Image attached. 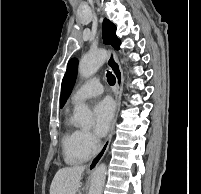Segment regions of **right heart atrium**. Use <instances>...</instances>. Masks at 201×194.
I'll use <instances>...</instances> for the list:
<instances>
[{
    "label": "right heart atrium",
    "mask_w": 201,
    "mask_h": 194,
    "mask_svg": "<svg viewBox=\"0 0 201 194\" xmlns=\"http://www.w3.org/2000/svg\"><path fill=\"white\" fill-rule=\"evenodd\" d=\"M79 143L83 149L93 152L97 148L98 141L90 131L82 130L80 131Z\"/></svg>",
    "instance_id": "right-heart-atrium-1"
}]
</instances>
